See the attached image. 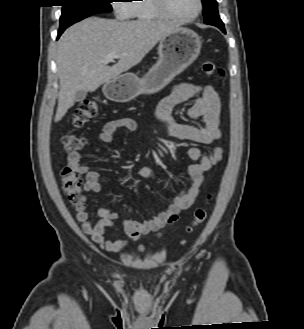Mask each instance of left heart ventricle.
Segmentation results:
<instances>
[{"mask_svg":"<svg viewBox=\"0 0 304 329\" xmlns=\"http://www.w3.org/2000/svg\"><path fill=\"white\" fill-rule=\"evenodd\" d=\"M170 10L179 16H191L198 9L197 0H168Z\"/></svg>","mask_w":304,"mask_h":329,"instance_id":"1","label":"left heart ventricle"}]
</instances>
